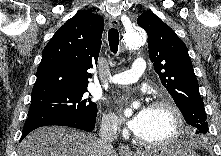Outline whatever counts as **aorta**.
I'll return each mask as SVG.
<instances>
[{"mask_svg":"<svg viewBox=\"0 0 221 156\" xmlns=\"http://www.w3.org/2000/svg\"><path fill=\"white\" fill-rule=\"evenodd\" d=\"M146 42V34L137 27L126 30L123 34V44L128 49H136L144 45ZM136 106V104H134ZM126 115H131V110L125 111Z\"/></svg>","mask_w":221,"mask_h":156,"instance_id":"aorta-1","label":"aorta"}]
</instances>
